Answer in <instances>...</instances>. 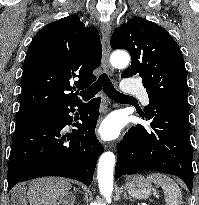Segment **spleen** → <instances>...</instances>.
<instances>
[{"instance_id":"3e777b00","label":"spleen","mask_w":199,"mask_h":205,"mask_svg":"<svg viewBox=\"0 0 199 205\" xmlns=\"http://www.w3.org/2000/svg\"><path fill=\"white\" fill-rule=\"evenodd\" d=\"M150 182H153L164 190L166 202L168 205H180L182 200L181 189L178 184L170 177L161 173H152L147 176Z\"/></svg>"}]
</instances>
